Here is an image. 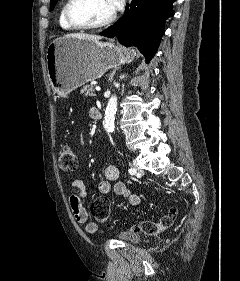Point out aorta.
I'll use <instances>...</instances> for the list:
<instances>
[{"label":"aorta","instance_id":"1","mask_svg":"<svg viewBox=\"0 0 240 281\" xmlns=\"http://www.w3.org/2000/svg\"><path fill=\"white\" fill-rule=\"evenodd\" d=\"M116 111H117V97L113 95L109 99L105 110L104 123L108 132L114 131L115 128L114 121H115Z\"/></svg>","mask_w":240,"mask_h":281}]
</instances>
